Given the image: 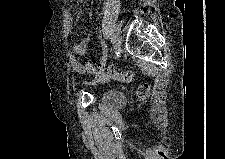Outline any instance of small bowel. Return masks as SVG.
Returning <instances> with one entry per match:
<instances>
[{"mask_svg": "<svg viewBox=\"0 0 225 159\" xmlns=\"http://www.w3.org/2000/svg\"><path fill=\"white\" fill-rule=\"evenodd\" d=\"M88 42L81 41L74 45L72 51L69 53L70 64L73 70L83 72V66L78 61V57H84L87 54Z\"/></svg>", "mask_w": 225, "mask_h": 159, "instance_id": "small-bowel-1", "label": "small bowel"}]
</instances>
